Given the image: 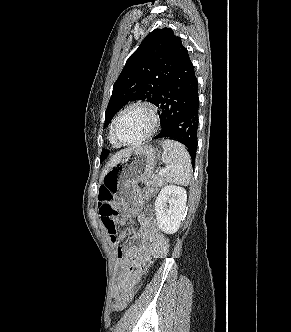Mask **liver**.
Returning a JSON list of instances; mask_svg holds the SVG:
<instances>
[{
  "instance_id": "obj_1",
  "label": "liver",
  "mask_w": 291,
  "mask_h": 332,
  "mask_svg": "<svg viewBox=\"0 0 291 332\" xmlns=\"http://www.w3.org/2000/svg\"><path fill=\"white\" fill-rule=\"evenodd\" d=\"M132 150H133L132 148L121 150L118 153H116L115 155H113L110 158L109 162L107 163L105 169L103 170V172L101 174V181L103 180V178L106 175V173L108 172V170L110 168L114 167L123 156H125L127 153L131 152Z\"/></svg>"
}]
</instances>
